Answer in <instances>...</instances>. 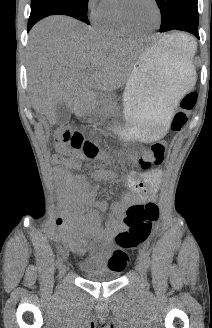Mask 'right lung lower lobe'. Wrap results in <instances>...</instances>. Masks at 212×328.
I'll use <instances>...</instances> for the list:
<instances>
[{"label":"right lung lower lobe","instance_id":"obj_1","mask_svg":"<svg viewBox=\"0 0 212 328\" xmlns=\"http://www.w3.org/2000/svg\"><path fill=\"white\" fill-rule=\"evenodd\" d=\"M56 14L68 15L79 20L82 19L81 16L75 10L67 6L39 4L31 7V14L28 21V31L36 22H38L42 18Z\"/></svg>","mask_w":212,"mask_h":328}]
</instances>
